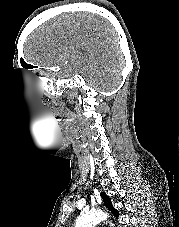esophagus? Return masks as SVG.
I'll list each match as a JSON object with an SVG mask.
<instances>
[{"mask_svg": "<svg viewBox=\"0 0 179 227\" xmlns=\"http://www.w3.org/2000/svg\"><path fill=\"white\" fill-rule=\"evenodd\" d=\"M106 226L107 227H113L112 223L110 221H106Z\"/></svg>", "mask_w": 179, "mask_h": 227, "instance_id": "1", "label": "esophagus"}]
</instances>
